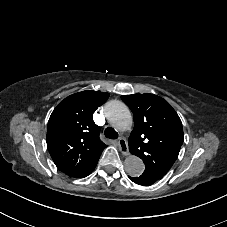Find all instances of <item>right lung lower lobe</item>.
Listing matches in <instances>:
<instances>
[{
    "label": "right lung lower lobe",
    "instance_id": "98d812e1",
    "mask_svg": "<svg viewBox=\"0 0 227 227\" xmlns=\"http://www.w3.org/2000/svg\"><path fill=\"white\" fill-rule=\"evenodd\" d=\"M97 164V163H96ZM96 164L86 173V175L85 176H83V177H86L87 175H89L93 170H94V168L96 167ZM66 174V173H65ZM68 175V174H67ZM69 176V175H68ZM70 177H72V176H70ZM83 177H79V178H83Z\"/></svg>",
    "mask_w": 227,
    "mask_h": 227
}]
</instances>
